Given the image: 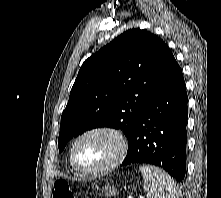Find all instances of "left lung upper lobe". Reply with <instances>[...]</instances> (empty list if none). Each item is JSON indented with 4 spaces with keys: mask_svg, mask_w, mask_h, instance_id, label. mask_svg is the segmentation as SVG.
Returning <instances> with one entry per match:
<instances>
[{
    "mask_svg": "<svg viewBox=\"0 0 221 198\" xmlns=\"http://www.w3.org/2000/svg\"><path fill=\"white\" fill-rule=\"evenodd\" d=\"M173 60L159 37L140 29L124 32L90 56L61 116L59 152L73 137L97 127L121 129L129 140Z\"/></svg>",
    "mask_w": 221,
    "mask_h": 198,
    "instance_id": "left-lung-upper-lobe-1",
    "label": "left lung upper lobe"
}]
</instances>
